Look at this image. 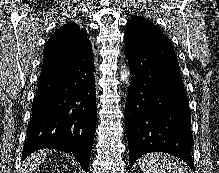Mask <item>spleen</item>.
Wrapping results in <instances>:
<instances>
[{"instance_id":"3e777b00","label":"spleen","mask_w":219,"mask_h":173,"mask_svg":"<svg viewBox=\"0 0 219 173\" xmlns=\"http://www.w3.org/2000/svg\"><path fill=\"white\" fill-rule=\"evenodd\" d=\"M144 173H187L179 160L168 154L150 153L139 159Z\"/></svg>"}]
</instances>
